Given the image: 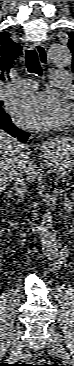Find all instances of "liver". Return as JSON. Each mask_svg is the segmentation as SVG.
<instances>
[{
	"label": "liver",
	"instance_id": "6515ba94",
	"mask_svg": "<svg viewBox=\"0 0 74 366\" xmlns=\"http://www.w3.org/2000/svg\"><path fill=\"white\" fill-rule=\"evenodd\" d=\"M21 144L16 138L12 137L5 131H0V189L4 190L7 184L13 180L14 174L17 172L20 155L22 152L27 154L25 158L24 174L27 180L33 181L37 176V166L34 159L31 158V153L21 149ZM27 147L26 145H24Z\"/></svg>",
	"mask_w": 74,
	"mask_h": 366
}]
</instances>
